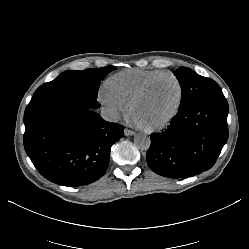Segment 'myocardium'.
<instances>
[{"instance_id": "f54148a6", "label": "myocardium", "mask_w": 249, "mask_h": 249, "mask_svg": "<svg viewBox=\"0 0 249 249\" xmlns=\"http://www.w3.org/2000/svg\"><path fill=\"white\" fill-rule=\"evenodd\" d=\"M163 77H171L177 82L178 87H179L178 103H177L175 109L173 110V112L163 121L158 122V123L151 125V126H142L143 130H145L146 132H155L158 130H162V129L166 128L168 125H170L174 121V119L177 117V115L179 114L181 107H182V104H183V101H184L185 90H184V85H183L181 79L173 72H163V73H160V74L152 77L151 79H149L140 88V90L135 94V96L131 99V101L128 105L130 113H132V110L135 107V105L147 94V92L153 86V84Z\"/></svg>"}]
</instances>
